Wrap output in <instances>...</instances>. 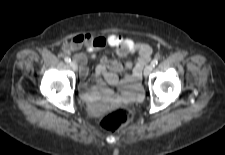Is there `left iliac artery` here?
Instances as JSON below:
<instances>
[{
	"instance_id": "44dca946",
	"label": "left iliac artery",
	"mask_w": 225,
	"mask_h": 155,
	"mask_svg": "<svg viewBox=\"0 0 225 155\" xmlns=\"http://www.w3.org/2000/svg\"><path fill=\"white\" fill-rule=\"evenodd\" d=\"M158 63V60L157 59H154L152 62H151V65L154 67L155 65H157Z\"/></svg>"
}]
</instances>
